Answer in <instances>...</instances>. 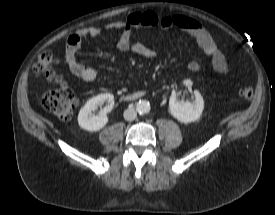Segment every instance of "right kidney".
I'll return each mask as SVG.
<instances>
[{"instance_id": "right-kidney-1", "label": "right kidney", "mask_w": 275, "mask_h": 215, "mask_svg": "<svg viewBox=\"0 0 275 215\" xmlns=\"http://www.w3.org/2000/svg\"><path fill=\"white\" fill-rule=\"evenodd\" d=\"M105 104L104 108H101L100 112L95 115L92 112L97 109L98 106ZM114 107V96L110 93L99 94L89 99L86 104L81 108L78 114V124L82 129L88 131H99L108 122L107 113H109Z\"/></svg>"}]
</instances>
